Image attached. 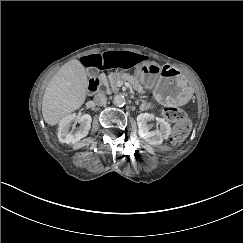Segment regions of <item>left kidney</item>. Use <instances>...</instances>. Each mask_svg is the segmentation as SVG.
<instances>
[{
  "instance_id": "5707ae66",
  "label": "left kidney",
  "mask_w": 243,
  "mask_h": 243,
  "mask_svg": "<svg viewBox=\"0 0 243 243\" xmlns=\"http://www.w3.org/2000/svg\"><path fill=\"white\" fill-rule=\"evenodd\" d=\"M154 117L149 113H142L137 116L138 133L141 138L151 145H160L164 139H167L171 133L170 124L163 118H156L160 129L156 131H149L147 122Z\"/></svg>"
}]
</instances>
